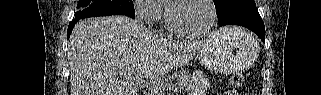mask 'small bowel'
Returning <instances> with one entry per match:
<instances>
[{"mask_svg":"<svg viewBox=\"0 0 321 95\" xmlns=\"http://www.w3.org/2000/svg\"><path fill=\"white\" fill-rule=\"evenodd\" d=\"M223 95H236V92L234 90H228Z\"/></svg>","mask_w":321,"mask_h":95,"instance_id":"obj_1","label":"small bowel"}]
</instances>
